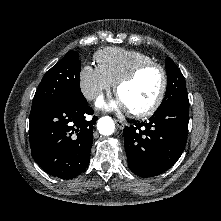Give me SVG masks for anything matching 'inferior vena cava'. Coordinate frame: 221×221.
I'll return each mask as SVG.
<instances>
[{"instance_id": "602c4592", "label": "inferior vena cava", "mask_w": 221, "mask_h": 221, "mask_svg": "<svg viewBox=\"0 0 221 221\" xmlns=\"http://www.w3.org/2000/svg\"><path fill=\"white\" fill-rule=\"evenodd\" d=\"M98 92L96 90H91L88 94H87V98L88 99H93L97 96Z\"/></svg>"}]
</instances>
